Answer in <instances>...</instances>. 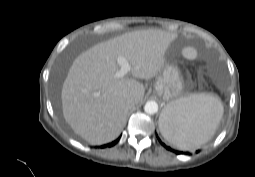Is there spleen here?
Segmentation results:
<instances>
[{
  "instance_id": "1",
  "label": "spleen",
  "mask_w": 255,
  "mask_h": 177,
  "mask_svg": "<svg viewBox=\"0 0 255 177\" xmlns=\"http://www.w3.org/2000/svg\"><path fill=\"white\" fill-rule=\"evenodd\" d=\"M166 107L169 117L159 127L163 137L180 150H193L208 142L223 116L220 98L211 94H192Z\"/></svg>"
}]
</instances>
